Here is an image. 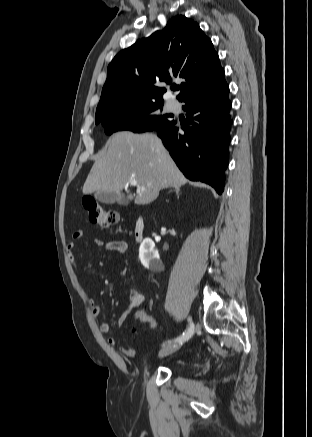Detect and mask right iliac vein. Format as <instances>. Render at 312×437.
Returning <instances> with one entry per match:
<instances>
[{
    "label": "right iliac vein",
    "instance_id": "obj_1",
    "mask_svg": "<svg viewBox=\"0 0 312 437\" xmlns=\"http://www.w3.org/2000/svg\"><path fill=\"white\" fill-rule=\"evenodd\" d=\"M182 343L180 342H175L172 344H168L166 346H164L160 352H159V356L160 357H165L169 354H172L173 352L177 351L180 347H181Z\"/></svg>",
    "mask_w": 312,
    "mask_h": 437
}]
</instances>
